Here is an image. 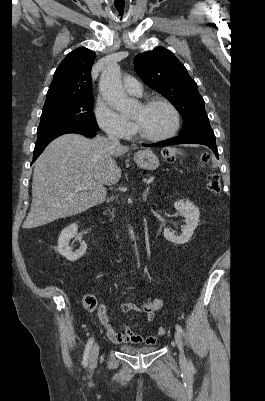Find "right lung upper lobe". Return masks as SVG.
<instances>
[{
	"label": "right lung upper lobe",
	"mask_w": 265,
	"mask_h": 401,
	"mask_svg": "<svg viewBox=\"0 0 265 401\" xmlns=\"http://www.w3.org/2000/svg\"><path fill=\"white\" fill-rule=\"evenodd\" d=\"M95 52L80 47L70 52L54 73L44 105L92 96L91 67Z\"/></svg>",
	"instance_id": "1"
}]
</instances>
